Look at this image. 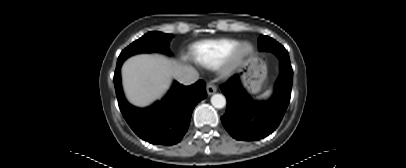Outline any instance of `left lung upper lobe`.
I'll return each instance as SVG.
<instances>
[{
	"label": "left lung upper lobe",
	"instance_id": "1",
	"mask_svg": "<svg viewBox=\"0 0 406 168\" xmlns=\"http://www.w3.org/2000/svg\"><path fill=\"white\" fill-rule=\"evenodd\" d=\"M258 42L260 50L272 51L278 56L288 55V52L281 44L268 36H260Z\"/></svg>",
	"mask_w": 406,
	"mask_h": 168
}]
</instances>
